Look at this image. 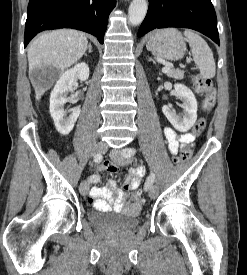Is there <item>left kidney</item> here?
<instances>
[{"instance_id": "1", "label": "left kidney", "mask_w": 247, "mask_h": 275, "mask_svg": "<svg viewBox=\"0 0 247 275\" xmlns=\"http://www.w3.org/2000/svg\"><path fill=\"white\" fill-rule=\"evenodd\" d=\"M174 88L177 98L183 102V113L182 115H177L172 110L171 105H164L162 112L176 130L187 132L197 119V101L193 92L185 85L177 83Z\"/></svg>"}]
</instances>
